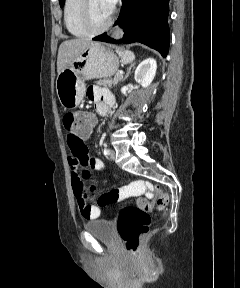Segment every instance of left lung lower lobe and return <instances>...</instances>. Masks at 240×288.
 <instances>
[{"mask_svg":"<svg viewBox=\"0 0 240 288\" xmlns=\"http://www.w3.org/2000/svg\"><path fill=\"white\" fill-rule=\"evenodd\" d=\"M168 2L169 0H122L115 25L119 24L123 28V38L116 41L104 33L93 40L108 43L139 42L166 57L169 51Z\"/></svg>","mask_w":240,"mask_h":288,"instance_id":"0a47b994","label":"left lung lower lobe"}]
</instances>
